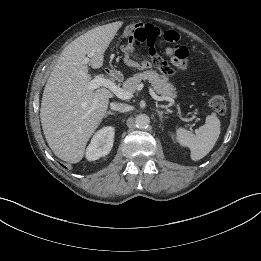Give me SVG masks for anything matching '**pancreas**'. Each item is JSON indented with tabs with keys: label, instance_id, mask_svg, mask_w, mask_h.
Listing matches in <instances>:
<instances>
[{
	"label": "pancreas",
	"instance_id": "cf45deb5",
	"mask_svg": "<svg viewBox=\"0 0 261 261\" xmlns=\"http://www.w3.org/2000/svg\"><path fill=\"white\" fill-rule=\"evenodd\" d=\"M142 80H148L154 87L155 91L162 97H176L175 88L168 81V78L159 75L154 70H146L134 74L123 83V90L134 93Z\"/></svg>",
	"mask_w": 261,
	"mask_h": 261
}]
</instances>
